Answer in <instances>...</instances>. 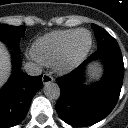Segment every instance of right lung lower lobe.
Instances as JSON below:
<instances>
[{
	"mask_svg": "<svg viewBox=\"0 0 128 128\" xmlns=\"http://www.w3.org/2000/svg\"><path fill=\"white\" fill-rule=\"evenodd\" d=\"M42 87V76L32 77L20 71L13 58V74L0 91V128L19 124L26 116L32 98Z\"/></svg>",
	"mask_w": 128,
	"mask_h": 128,
	"instance_id": "98d812e1",
	"label": "right lung lower lobe"
}]
</instances>
